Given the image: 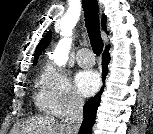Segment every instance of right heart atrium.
Returning <instances> with one entry per match:
<instances>
[{
    "instance_id": "right-heart-atrium-1",
    "label": "right heart atrium",
    "mask_w": 153,
    "mask_h": 134,
    "mask_svg": "<svg viewBox=\"0 0 153 134\" xmlns=\"http://www.w3.org/2000/svg\"><path fill=\"white\" fill-rule=\"evenodd\" d=\"M36 101L40 110L59 118L80 111L84 103L68 76L52 65L40 75Z\"/></svg>"
}]
</instances>
